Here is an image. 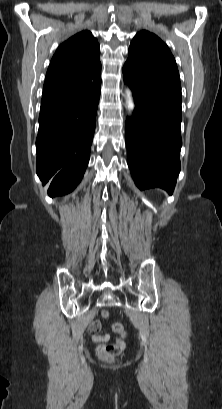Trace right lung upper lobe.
Masks as SVG:
<instances>
[{"label":"right lung upper lobe","instance_id":"obj_1","mask_svg":"<svg viewBox=\"0 0 222 409\" xmlns=\"http://www.w3.org/2000/svg\"><path fill=\"white\" fill-rule=\"evenodd\" d=\"M99 57V43L89 31H81L63 42L47 70L42 100L84 90L88 79L101 71Z\"/></svg>","mask_w":222,"mask_h":409}]
</instances>
